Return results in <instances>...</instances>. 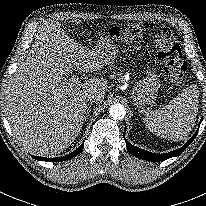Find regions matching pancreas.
<instances>
[{
  "mask_svg": "<svg viewBox=\"0 0 206 206\" xmlns=\"http://www.w3.org/2000/svg\"><path fill=\"white\" fill-rule=\"evenodd\" d=\"M113 77H114V76H113ZM117 80H118V81H120V80H121V76H120V75L118 76Z\"/></svg>",
  "mask_w": 206,
  "mask_h": 206,
  "instance_id": "1",
  "label": "pancreas"
}]
</instances>
